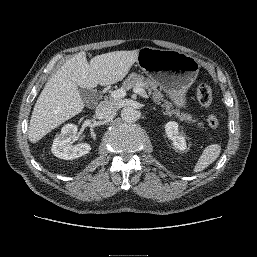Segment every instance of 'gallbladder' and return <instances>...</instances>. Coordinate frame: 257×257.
Segmentation results:
<instances>
[{"label":"gallbladder","mask_w":257,"mask_h":257,"mask_svg":"<svg viewBox=\"0 0 257 257\" xmlns=\"http://www.w3.org/2000/svg\"><path fill=\"white\" fill-rule=\"evenodd\" d=\"M79 92H80V95H81L82 99L85 102H89V100L91 98H93L94 95H95V92L93 90H91V89H83V88H81V89H79Z\"/></svg>","instance_id":"1"}]
</instances>
